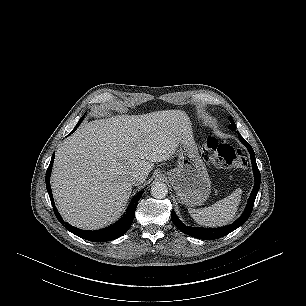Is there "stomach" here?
I'll return each mask as SVG.
<instances>
[{"instance_id": "0dacf381", "label": "stomach", "mask_w": 306, "mask_h": 306, "mask_svg": "<svg viewBox=\"0 0 306 306\" xmlns=\"http://www.w3.org/2000/svg\"><path fill=\"white\" fill-rule=\"evenodd\" d=\"M177 199L188 207L207 200L211 181L192 134L180 143L177 167L167 172Z\"/></svg>"}]
</instances>
